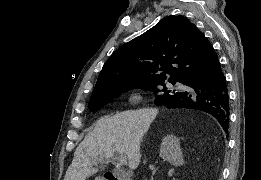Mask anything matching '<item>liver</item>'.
I'll return each mask as SVG.
<instances>
[{
  "label": "liver",
  "instance_id": "6515ba94",
  "mask_svg": "<svg viewBox=\"0 0 261 180\" xmlns=\"http://www.w3.org/2000/svg\"><path fill=\"white\" fill-rule=\"evenodd\" d=\"M157 110H126L115 116H104L97 120L93 132L79 144L74 160L69 166L68 180H86L98 172L92 164H99L103 158H113L115 152L128 158L130 170L140 164V146L152 124ZM108 164V162H106Z\"/></svg>",
  "mask_w": 261,
  "mask_h": 180
}]
</instances>
